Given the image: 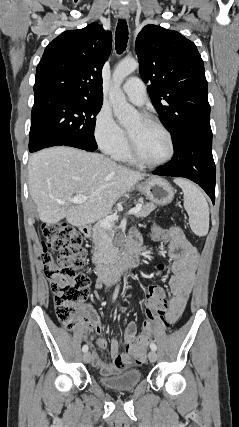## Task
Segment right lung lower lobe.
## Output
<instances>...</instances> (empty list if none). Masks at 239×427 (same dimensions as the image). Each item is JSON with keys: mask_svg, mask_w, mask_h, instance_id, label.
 I'll list each match as a JSON object with an SVG mask.
<instances>
[{"mask_svg": "<svg viewBox=\"0 0 239 427\" xmlns=\"http://www.w3.org/2000/svg\"><path fill=\"white\" fill-rule=\"evenodd\" d=\"M72 147H73V146H72ZM96 149H97V147H96ZM96 149H95V150H96ZM29 151H30V152H36V151H38V150H36V151H35V150H29ZM90 151H91V150H90ZM93 151H94V150H93Z\"/></svg>", "mask_w": 239, "mask_h": 427, "instance_id": "right-lung-lower-lobe-1", "label": "right lung lower lobe"}]
</instances>
